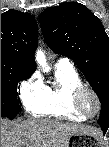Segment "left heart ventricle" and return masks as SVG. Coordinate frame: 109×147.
Wrapping results in <instances>:
<instances>
[{
	"instance_id": "1",
	"label": "left heart ventricle",
	"mask_w": 109,
	"mask_h": 147,
	"mask_svg": "<svg viewBox=\"0 0 109 147\" xmlns=\"http://www.w3.org/2000/svg\"><path fill=\"white\" fill-rule=\"evenodd\" d=\"M82 106L88 114H94L97 110L96 99L92 94L86 93L82 98Z\"/></svg>"
}]
</instances>
